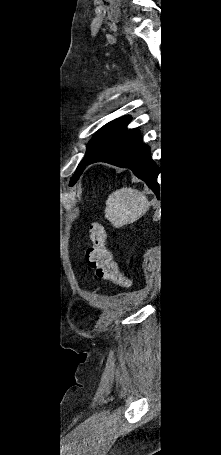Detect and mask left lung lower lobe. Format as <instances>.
<instances>
[{"label": "left lung lower lobe", "instance_id": "left-lung-lower-lobe-1", "mask_svg": "<svg viewBox=\"0 0 221 455\" xmlns=\"http://www.w3.org/2000/svg\"><path fill=\"white\" fill-rule=\"evenodd\" d=\"M139 133L136 129L125 130L98 152L87 165L106 162L118 167L129 168L155 193H158L156 164L151 158L150 148L140 141Z\"/></svg>", "mask_w": 221, "mask_h": 455}]
</instances>
